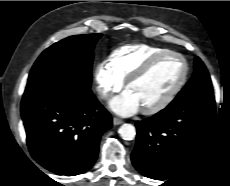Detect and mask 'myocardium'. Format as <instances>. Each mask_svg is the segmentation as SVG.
I'll return each mask as SVG.
<instances>
[{
    "instance_id": "f54148a6",
    "label": "myocardium",
    "mask_w": 230,
    "mask_h": 186,
    "mask_svg": "<svg viewBox=\"0 0 230 186\" xmlns=\"http://www.w3.org/2000/svg\"><path fill=\"white\" fill-rule=\"evenodd\" d=\"M168 56H175L183 62L184 71L182 77L179 80V82L175 85V87L162 100H160L158 103L154 104L151 107L143 108L142 112L144 114L151 115L158 113L173 102V100L180 93V91L183 89L188 80L190 70L188 61L182 54L176 51L167 50L149 58L140 68H138L132 75H130L125 82V88L127 89L129 85L144 77L158 61Z\"/></svg>"
}]
</instances>
